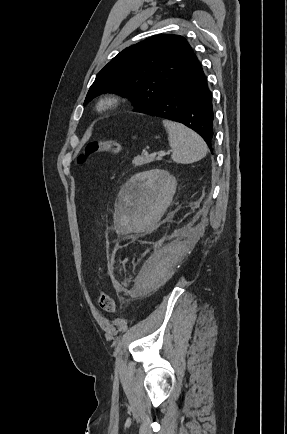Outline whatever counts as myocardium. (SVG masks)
<instances>
[{"label":"myocardium","instance_id":"myocardium-1","mask_svg":"<svg viewBox=\"0 0 287 434\" xmlns=\"http://www.w3.org/2000/svg\"><path fill=\"white\" fill-rule=\"evenodd\" d=\"M119 105V99L113 96H107L99 100L97 103L98 112H107L117 108Z\"/></svg>","mask_w":287,"mask_h":434}]
</instances>
